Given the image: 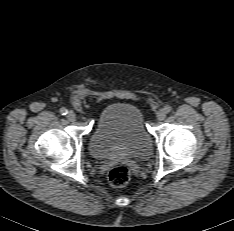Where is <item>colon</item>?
<instances>
[{
	"mask_svg": "<svg viewBox=\"0 0 234 231\" xmlns=\"http://www.w3.org/2000/svg\"><path fill=\"white\" fill-rule=\"evenodd\" d=\"M108 179L112 187H123L130 180V171L125 166H116L109 172Z\"/></svg>",
	"mask_w": 234,
	"mask_h": 231,
	"instance_id": "obj_1",
	"label": "colon"
}]
</instances>
